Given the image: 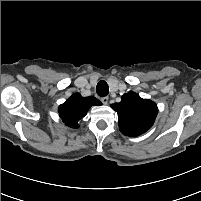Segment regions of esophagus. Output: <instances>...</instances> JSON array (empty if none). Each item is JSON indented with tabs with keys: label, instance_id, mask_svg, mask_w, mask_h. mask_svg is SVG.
<instances>
[{
	"label": "esophagus",
	"instance_id": "1",
	"mask_svg": "<svg viewBox=\"0 0 201 201\" xmlns=\"http://www.w3.org/2000/svg\"><path fill=\"white\" fill-rule=\"evenodd\" d=\"M108 97H103V98H101V101H102V103L104 104V105H107L108 104Z\"/></svg>",
	"mask_w": 201,
	"mask_h": 201
}]
</instances>
